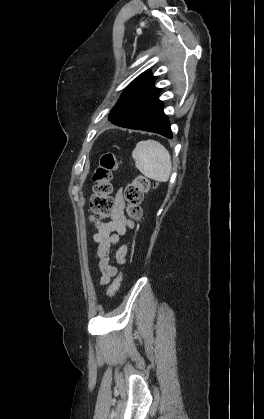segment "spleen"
Masks as SVG:
<instances>
[{
	"label": "spleen",
	"mask_w": 264,
	"mask_h": 419,
	"mask_svg": "<svg viewBox=\"0 0 264 419\" xmlns=\"http://www.w3.org/2000/svg\"><path fill=\"white\" fill-rule=\"evenodd\" d=\"M136 168L146 177L158 182H167L172 163L168 150L155 140H143L132 152Z\"/></svg>",
	"instance_id": "obj_1"
}]
</instances>
